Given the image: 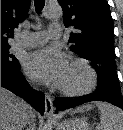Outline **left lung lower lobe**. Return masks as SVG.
<instances>
[{"mask_svg":"<svg viewBox=\"0 0 123 130\" xmlns=\"http://www.w3.org/2000/svg\"><path fill=\"white\" fill-rule=\"evenodd\" d=\"M91 101H104L111 103L123 110V98L119 97L118 95L108 92V91H102L97 88L95 93L78 98V99H61L58 98L54 101V105L56 107V112L62 111L68 108H73L75 106L81 105L86 102Z\"/></svg>","mask_w":123,"mask_h":130,"instance_id":"1","label":"left lung lower lobe"}]
</instances>
